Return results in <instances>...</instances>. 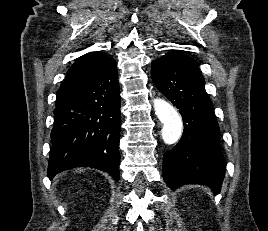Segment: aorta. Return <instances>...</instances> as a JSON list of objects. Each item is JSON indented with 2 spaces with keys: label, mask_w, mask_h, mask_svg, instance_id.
<instances>
[{
  "label": "aorta",
  "mask_w": 268,
  "mask_h": 231,
  "mask_svg": "<svg viewBox=\"0 0 268 231\" xmlns=\"http://www.w3.org/2000/svg\"><path fill=\"white\" fill-rule=\"evenodd\" d=\"M155 114L163 123L162 139L166 144L176 143L182 134V119L172 105L163 99H155Z\"/></svg>",
  "instance_id": "obj_1"
}]
</instances>
